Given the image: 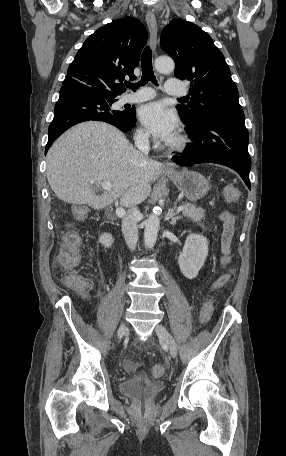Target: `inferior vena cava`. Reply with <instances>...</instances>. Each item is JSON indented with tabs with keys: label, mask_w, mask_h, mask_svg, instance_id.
I'll return each mask as SVG.
<instances>
[{
	"label": "inferior vena cava",
	"mask_w": 286,
	"mask_h": 456,
	"mask_svg": "<svg viewBox=\"0 0 286 456\" xmlns=\"http://www.w3.org/2000/svg\"><path fill=\"white\" fill-rule=\"evenodd\" d=\"M135 146L146 156L149 153V136L147 133H138L135 138ZM140 212L137 207L128 209L127 214L122 219V232L124 234L125 242L130 250L136 248L138 241V229L137 222Z\"/></svg>",
	"instance_id": "602c4592"
}]
</instances>
